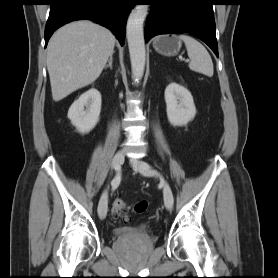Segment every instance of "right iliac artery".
I'll list each match as a JSON object with an SVG mask.
<instances>
[{"instance_id":"1","label":"right iliac artery","mask_w":278,"mask_h":278,"mask_svg":"<svg viewBox=\"0 0 278 278\" xmlns=\"http://www.w3.org/2000/svg\"><path fill=\"white\" fill-rule=\"evenodd\" d=\"M115 170H116L117 174L111 182L113 187H117L121 180L120 167L116 166Z\"/></svg>"}]
</instances>
